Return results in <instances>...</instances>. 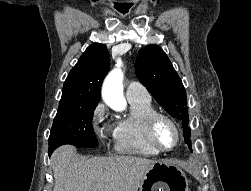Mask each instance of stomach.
I'll return each mask as SVG.
<instances>
[{
    "label": "stomach",
    "mask_w": 251,
    "mask_h": 191,
    "mask_svg": "<svg viewBox=\"0 0 251 191\" xmlns=\"http://www.w3.org/2000/svg\"><path fill=\"white\" fill-rule=\"evenodd\" d=\"M159 185H163L165 191H188V179L181 167L163 161H157L145 171L139 191H161Z\"/></svg>",
    "instance_id": "0dacf381"
}]
</instances>
